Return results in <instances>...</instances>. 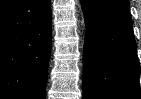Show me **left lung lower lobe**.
<instances>
[{
    "mask_svg": "<svg viewBox=\"0 0 141 99\" xmlns=\"http://www.w3.org/2000/svg\"><path fill=\"white\" fill-rule=\"evenodd\" d=\"M86 22L83 99H141L128 0H81Z\"/></svg>",
    "mask_w": 141,
    "mask_h": 99,
    "instance_id": "left-lung-lower-lobe-1",
    "label": "left lung lower lobe"
}]
</instances>
